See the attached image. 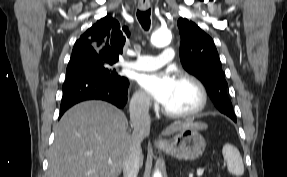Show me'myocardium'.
Masks as SVG:
<instances>
[{
    "instance_id": "myocardium-1",
    "label": "myocardium",
    "mask_w": 287,
    "mask_h": 177,
    "mask_svg": "<svg viewBox=\"0 0 287 177\" xmlns=\"http://www.w3.org/2000/svg\"><path fill=\"white\" fill-rule=\"evenodd\" d=\"M177 80L182 81V82H187L191 84L192 86H194L199 96L198 105L193 110L187 111V112H172L162 107V112L170 118H188V117L197 116L206 108L207 103H208V93H207L205 86L202 84V82L199 79L187 73L179 74L177 77Z\"/></svg>"
}]
</instances>
